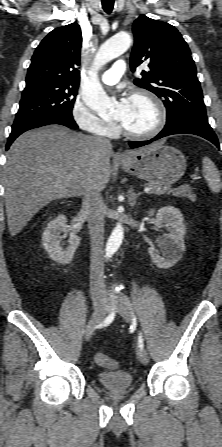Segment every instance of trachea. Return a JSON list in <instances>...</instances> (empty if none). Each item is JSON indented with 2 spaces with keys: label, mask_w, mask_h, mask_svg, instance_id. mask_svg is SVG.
I'll return each instance as SVG.
<instances>
[{
  "label": "trachea",
  "mask_w": 222,
  "mask_h": 447,
  "mask_svg": "<svg viewBox=\"0 0 222 447\" xmlns=\"http://www.w3.org/2000/svg\"><path fill=\"white\" fill-rule=\"evenodd\" d=\"M102 7L106 13H111L114 7V0H102Z\"/></svg>",
  "instance_id": "trachea-1"
}]
</instances>
